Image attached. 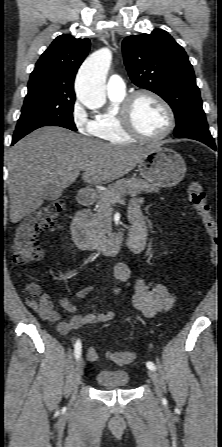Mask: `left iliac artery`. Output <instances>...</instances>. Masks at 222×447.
Segmentation results:
<instances>
[{
  "mask_svg": "<svg viewBox=\"0 0 222 447\" xmlns=\"http://www.w3.org/2000/svg\"><path fill=\"white\" fill-rule=\"evenodd\" d=\"M146 366L150 370H155L156 369L154 363H152V362H147Z\"/></svg>",
  "mask_w": 222,
  "mask_h": 447,
  "instance_id": "left-iliac-artery-1",
  "label": "left iliac artery"
}]
</instances>
